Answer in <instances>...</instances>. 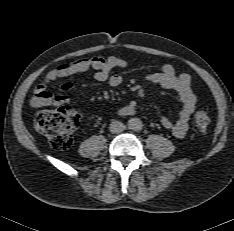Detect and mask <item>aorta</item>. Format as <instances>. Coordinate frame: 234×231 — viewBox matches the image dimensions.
<instances>
[{"instance_id":"aorta-1","label":"aorta","mask_w":234,"mask_h":231,"mask_svg":"<svg viewBox=\"0 0 234 231\" xmlns=\"http://www.w3.org/2000/svg\"><path fill=\"white\" fill-rule=\"evenodd\" d=\"M142 126H143L142 121L139 118H131L128 121L129 129L137 131V130H140L142 128Z\"/></svg>"}]
</instances>
